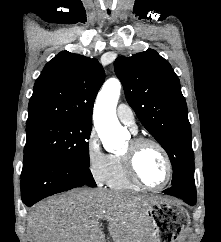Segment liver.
Instances as JSON below:
<instances>
[{"label":"liver","mask_w":221,"mask_h":242,"mask_svg":"<svg viewBox=\"0 0 221 242\" xmlns=\"http://www.w3.org/2000/svg\"><path fill=\"white\" fill-rule=\"evenodd\" d=\"M162 198L101 189H74L39 202L27 217L32 242H152L147 207Z\"/></svg>","instance_id":"obj_1"}]
</instances>
